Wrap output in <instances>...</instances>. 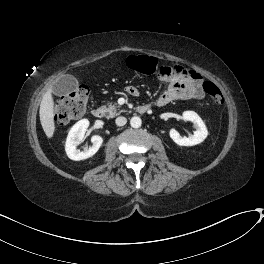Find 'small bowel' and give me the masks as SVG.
Returning <instances> with one entry per match:
<instances>
[{"label":"small bowel","mask_w":264,"mask_h":264,"mask_svg":"<svg viewBox=\"0 0 264 264\" xmlns=\"http://www.w3.org/2000/svg\"><path fill=\"white\" fill-rule=\"evenodd\" d=\"M161 81L167 84L165 90L155 101L156 106H164L173 100L179 99H197L204 97L202 88V79L193 71L182 70L179 67L172 69L169 76L161 78ZM138 90L135 86L127 87V93L134 96L133 92Z\"/></svg>","instance_id":"1"}]
</instances>
